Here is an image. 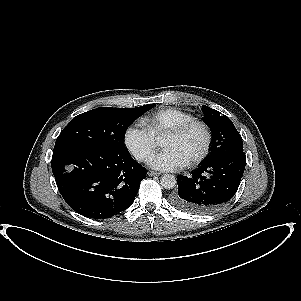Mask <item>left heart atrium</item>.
<instances>
[{"label":"left heart atrium","mask_w":301,"mask_h":301,"mask_svg":"<svg viewBox=\"0 0 301 301\" xmlns=\"http://www.w3.org/2000/svg\"><path fill=\"white\" fill-rule=\"evenodd\" d=\"M148 164L150 167L161 171H177L187 165V160L173 150L163 149L152 155L148 159Z\"/></svg>","instance_id":"39dd6f15"}]
</instances>
